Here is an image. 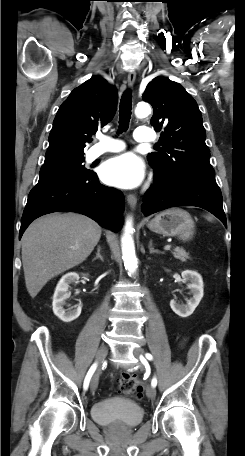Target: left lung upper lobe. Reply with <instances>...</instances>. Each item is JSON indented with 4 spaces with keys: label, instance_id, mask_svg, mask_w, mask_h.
I'll use <instances>...</instances> for the list:
<instances>
[{
    "label": "left lung upper lobe",
    "instance_id": "5c2ea615",
    "mask_svg": "<svg viewBox=\"0 0 245 456\" xmlns=\"http://www.w3.org/2000/svg\"><path fill=\"white\" fill-rule=\"evenodd\" d=\"M143 100L152 105L151 124L162 136V148L147 156L155 172L215 179L201 112L194 98L179 83L156 77L147 85Z\"/></svg>",
    "mask_w": 245,
    "mask_h": 456
}]
</instances>
